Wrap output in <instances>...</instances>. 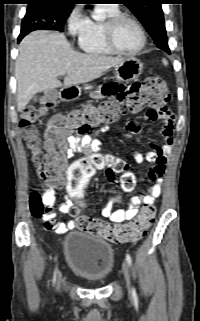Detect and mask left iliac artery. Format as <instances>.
Returning <instances> with one entry per match:
<instances>
[{
  "mask_svg": "<svg viewBox=\"0 0 200 321\" xmlns=\"http://www.w3.org/2000/svg\"><path fill=\"white\" fill-rule=\"evenodd\" d=\"M126 261L130 266L132 265V258L129 254H126ZM132 293L136 297V291L134 288L132 289Z\"/></svg>",
  "mask_w": 200,
  "mask_h": 321,
  "instance_id": "1",
  "label": "left iliac artery"
}]
</instances>
